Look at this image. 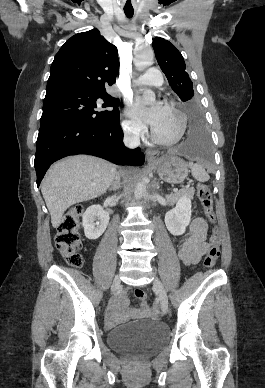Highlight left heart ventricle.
Instances as JSON below:
<instances>
[{
	"label": "left heart ventricle",
	"instance_id": "left-heart-ventricle-1",
	"mask_svg": "<svg viewBox=\"0 0 265 388\" xmlns=\"http://www.w3.org/2000/svg\"><path fill=\"white\" fill-rule=\"evenodd\" d=\"M142 91H156L153 86H140ZM177 118L166 108H164L160 120L155 125L157 132L162 136H172L177 130Z\"/></svg>",
	"mask_w": 265,
	"mask_h": 388
}]
</instances>
